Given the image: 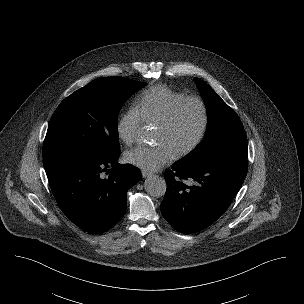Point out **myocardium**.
Segmentation results:
<instances>
[{
  "label": "myocardium",
  "mask_w": 304,
  "mask_h": 304,
  "mask_svg": "<svg viewBox=\"0 0 304 304\" xmlns=\"http://www.w3.org/2000/svg\"><path fill=\"white\" fill-rule=\"evenodd\" d=\"M190 102L196 103L200 109V126L195 137L187 145L181 147L175 152L176 156H182L193 151L204 139L209 125V111L206 102L199 96H185L175 102L166 112L164 117L157 123V127L167 129L172 124L180 108L184 104Z\"/></svg>",
  "instance_id": "1"
}]
</instances>
